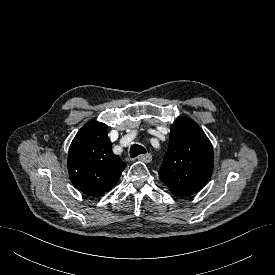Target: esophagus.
<instances>
[{
  "label": "esophagus",
  "instance_id": "34e87169",
  "mask_svg": "<svg viewBox=\"0 0 275 275\" xmlns=\"http://www.w3.org/2000/svg\"><path fill=\"white\" fill-rule=\"evenodd\" d=\"M137 159L141 162L144 163H149L152 160V156L151 154L147 153V154H141L137 157Z\"/></svg>",
  "mask_w": 275,
  "mask_h": 275
}]
</instances>
